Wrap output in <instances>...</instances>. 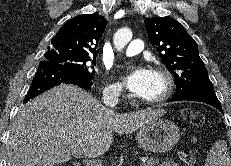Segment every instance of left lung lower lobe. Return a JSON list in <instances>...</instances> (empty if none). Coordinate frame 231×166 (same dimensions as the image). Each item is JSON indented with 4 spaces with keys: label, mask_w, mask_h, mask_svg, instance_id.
I'll return each instance as SVG.
<instances>
[{
    "label": "left lung lower lobe",
    "mask_w": 231,
    "mask_h": 166,
    "mask_svg": "<svg viewBox=\"0 0 231 166\" xmlns=\"http://www.w3.org/2000/svg\"><path fill=\"white\" fill-rule=\"evenodd\" d=\"M183 100L204 102L209 105H212L213 107L217 108L220 112H222L220 102L214 90L188 89L180 93H177L174 97L168 100V102Z\"/></svg>",
    "instance_id": "1"
}]
</instances>
